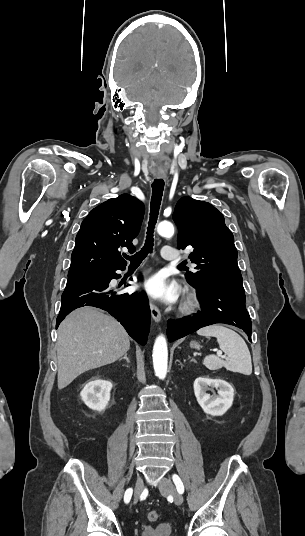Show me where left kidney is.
Here are the masks:
<instances>
[{
  "label": "left kidney",
  "mask_w": 305,
  "mask_h": 536,
  "mask_svg": "<svg viewBox=\"0 0 305 536\" xmlns=\"http://www.w3.org/2000/svg\"><path fill=\"white\" fill-rule=\"evenodd\" d=\"M193 388L196 400L205 414L223 416L233 404L234 390L225 380H211L203 376V378H196ZM211 388H219L215 396L206 394Z\"/></svg>",
  "instance_id": "1"
}]
</instances>
